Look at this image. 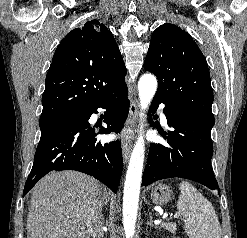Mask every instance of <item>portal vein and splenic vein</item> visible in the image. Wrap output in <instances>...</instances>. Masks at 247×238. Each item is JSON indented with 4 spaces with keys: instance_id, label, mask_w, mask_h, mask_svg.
I'll return each instance as SVG.
<instances>
[{
    "instance_id": "portal-vein-and-splenic-vein-1",
    "label": "portal vein and splenic vein",
    "mask_w": 247,
    "mask_h": 238,
    "mask_svg": "<svg viewBox=\"0 0 247 238\" xmlns=\"http://www.w3.org/2000/svg\"><path fill=\"white\" fill-rule=\"evenodd\" d=\"M175 217H176V218H178V217H179V215H175Z\"/></svg>"
}]
</instances>
